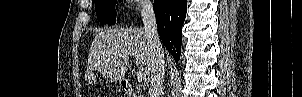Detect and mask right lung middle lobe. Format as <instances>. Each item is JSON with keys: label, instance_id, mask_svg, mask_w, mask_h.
<instances>
[{"label": "right lung middle lobe", "instance_id": "dd1d6c3e", "mask_svg": "<svg viewBox=\"0 0 302 97\" xmlns=\"http://www.w3.org/2000/svg\"><path fill=\"white\" fill-rule=\"evenodd\" d=\"M117 0H95V10L99 22L104 25L116 23V12L114 10Z\"/></svg>", "mask_w": 302, "mask_h": 97}]
</instances>
